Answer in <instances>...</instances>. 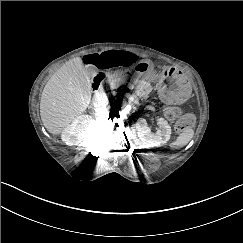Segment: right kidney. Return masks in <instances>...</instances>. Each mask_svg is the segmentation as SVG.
Here are the masks:
<instances>
[{
    "label": "right kidney",
    "instance_id": "right-kidney-1",
    "mask_svg": "<svg viewBox=\"0 0 243 243\" xmlns=\"http://www.w3.org/2000/svg\"><path fill=\"white\" fill-rule=\"evenodd\" d=\"M92 122V117L89 115L75 117L73 122L62 131V141L69 146L78 145L84 139L87 129Z\"/></svg>",
    "mask_w": 243,
    "mask_h": 243
}]
</instances>
